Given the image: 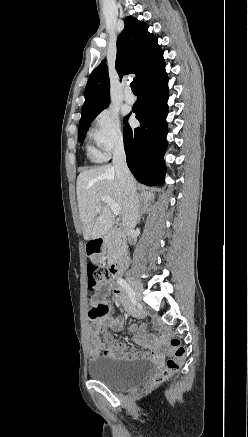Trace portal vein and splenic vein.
<instances>
[{"mask_svg": "<svg viewBox=\"0 0 248 437\" xmlns=\"http://www.w3.org/2000/svg\"><path fill=\"white\" fill-rule=\"evenodd\" d=\"M101 200L104 203H106L107 206H109V208L111 209L113 214H115V215L119 214L120 209H121L120 206L116 202H114L110 197L103 196V197H101ZM95 210H96V212H99L100 211V207L97 206Z\"/></svg>", "mask_w": 248, "mask_h": 437, "instance_id": "1", "label": "portal vein and splenic vein"}]
</instances>
